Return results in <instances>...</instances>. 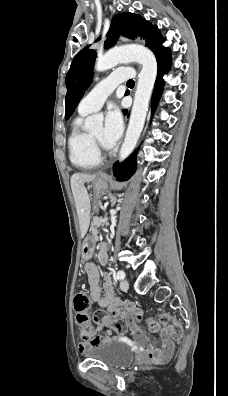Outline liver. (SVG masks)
Instances as JSON below:
<instances>
[{
  "mask_svg": "<svg viewBox=\"0 0 228 396\" xmlns=\"http://www.w3.org/2000/svg\"><path fill=\"white\" fill-rule=\"evenodd\" d=\"M95 179V175L76 173L71 177V189L80 222L81 236L84 237L90 221V199L84 184Z\"/></svg>",
  "mask_w": 228,
  "mask_h": 396,
  "instance_id": "obj_1",
  "label": "liver"
}]
</instances>
